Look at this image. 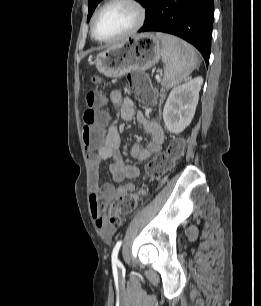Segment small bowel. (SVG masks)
<instances>
[{"instance_id": "c3829d8e", "label": "small bowel", "mask_w": 261, "mask_h": 306, "mask_svg": "<svg viewBox=\"0 0 261 306\" xmlns=\"http://www.w3.org/2000/svg\"><path fill=\"white\" fill-rule=\"evenodd\" d=\"M109 101L111 106L120 108L122 119L126 121L135 120L150 137L147 145L134 144L132 146L130 154L133 159L145 161L151 154L162 149L164 133L157 122L147 118L143 113L137 112L134 102L130 98L124 97L119 90H113L110 93ZM120 146V132L115 125H111L107 129L104 144L96 152L87 155L90 179V212L97 228L105 237H111L115 232V228L106 218V205L122 194L133 192L136 185L133 182H129L119 187H114L110 183L100 182L101 163L112 159L109 170L113 180L117 183L126 179H134L138 176V169L125 163L120 153Z\"/></svg>"}]
</instances>
